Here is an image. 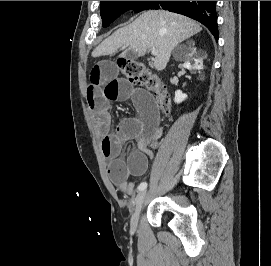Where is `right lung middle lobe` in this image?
Here are the masks:
<instances>
[{"mask_svg":"<svg viewBox=\"0 0 271 266\" xmlns=\"http://www.w3.org/2000/svg\"><path fill=\"white\" fill-rule=\"evenodd\" d=\"M155 1H101L100 15L103 20V27L113 22L120 13L129 9L136 12L149 9Z\"/></svg>","mask_w":271,"mask_h":266,"instance_id":"dd1d6c3e","label":"right lung middle lobe"}]
</instances>
